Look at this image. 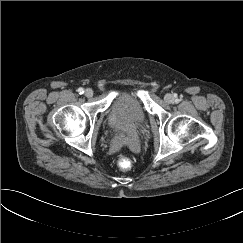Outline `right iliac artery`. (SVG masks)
I'll use <instances>...</instances> for the list:
<instances>
[{"label":"right iliac artery","instance_id":"obj_1","mask_svg":"<svg viewBox=\"0 0 243 243\" xmlns=\"http://www.w3.org/2000/svg\"><path fill=\"white\" fill-rule=\"evenodd\" d=\"M78 93H79V94H83V93H84V89H83V88H79V89H78Z\"/></svg>","mask_w":243,"mask_h":243}]
</instances>
